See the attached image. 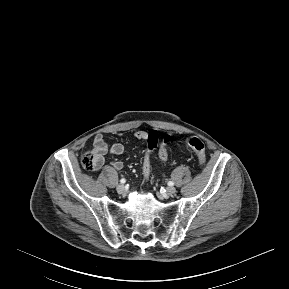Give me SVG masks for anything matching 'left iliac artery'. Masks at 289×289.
<instances>
[{"label":"left iliac artery","instance_id":"1","mask_svg":"<svg viewBox=\"0 0 289 289\" xmlns=\"http://www.w3.org/2000/svg\"><path fill=\"white\" fill-rule=\"evenodd\" d=\"M168 185H169V186H173V185H174V182H173V181H169V182H168Z\"/></svg>","mask_w":289,"mask_h":289}]
</instances>
